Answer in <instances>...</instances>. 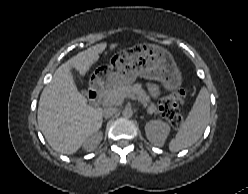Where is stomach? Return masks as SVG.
Instances as JSON below:
<instances>
[{"instance_id":"obj_1","label":"stomach","mask_w":248,"mask_h":194,"mask_svg":"<svg viewBox=\"0 0 248 194\" xmlns=\"http://www.w3.org/2000/svg\"><path fill=\"white\" fill-rule=\"evenodd\" d=\"M160 81L166 90L180 86L181 73L171 54L154 44L143 43L131 52L115 54L106 67L102 86L131 84L137 77Z\"/></svg>"}]
</instances>
